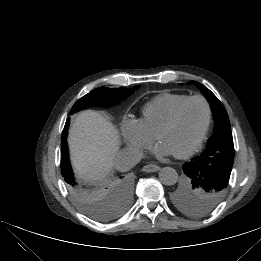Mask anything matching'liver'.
<instances>
[{
  "label": "liver",
  "instance_id": "6515ba94",
  "mask_svg": "<svg viewBox=\"0 0 261 261\" xmlns=\"http://www.w3.org/2000/svg\"><path fill=\"white\" fill-rule=\"evenodd\" d=\"M68 143L74 170L85 181L104 179L113 169V160L120 147L115 127L93 110L77 115Z\"/></svg>",
  "mask_w": 261,
  "mask_h": 261
}]
</instances>
